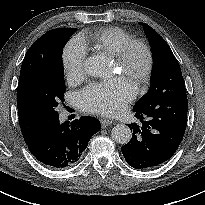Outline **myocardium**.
Instances as JSON below:
<instances>
[{
  "instance_id": "f54148a6",
  "label": "myocardium",
  "mask_w": 205,
  "mask_h": 205,
  "mask_svg": "<svg viewBox=\"0 0 205 205\" xmlns=\"http://www.w3.org/2000/svg\"><path fill=\"white\" fill-rule=\"evenodd\" d=\"M137 50L143 52L145 63L141 72L134 75V79L138 84L144 85L149 81L154 68V55L151 47L145 41L135 39L128 43L116 56V64L120 71L131 76L132 72L130 70V64L133 55Z\"/></svg>"
}]
</instances>
